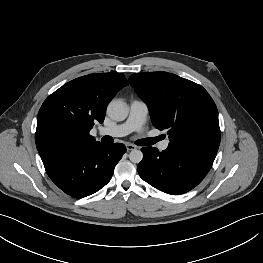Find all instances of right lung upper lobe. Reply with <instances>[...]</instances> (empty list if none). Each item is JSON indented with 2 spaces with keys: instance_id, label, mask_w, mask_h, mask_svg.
<instances>
[{
  "instance_id": "right-lung-upper-lobe-1",
  "label": "right lung upper lobe",
  "mask_w": 263,
  "mask_h": 263,
  "mask_svg": "<svg viewBox=\"0 0 263 263\" xmlns=\"http://www.w3.org/2000/svg\"><path fill=\"white\" fill-rule=\"evenodd\" d=\"M128 82L121 73L89 74L76 78L42 104L35 133L37 150L46 170L71 151L98 143L89 131L102 123L106 107Z\"/></svg>"
}]
</instances>
